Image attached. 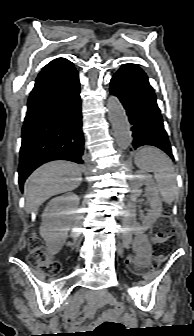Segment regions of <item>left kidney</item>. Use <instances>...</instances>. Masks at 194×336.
I'll list each match as a JSON object with an SVG mask.
<instances>
[{"label": "left kidney", "mask_w": 194, "mask_h": 336, "mask_svg": "<svg viewBox=\"0 0 194 336\" xmlns=\"http://www.w3.org/2000/svg\"><path fill=\"white\" fill-rule=\"evenodd\" d=\"M145 185L146 195L148 202L150 204V209L147 216L143 219L142 224L139 225L135 223V227L138 230L146 231L161 215L162 203L158 193V187L155 184L152 176L144 172L138 171L132 178V196L130 199V204L137 199V194L141 192V187ZM134 216V215H133Z\"/></svg>", "instance_id": "5707ae66"}]
</instances>
